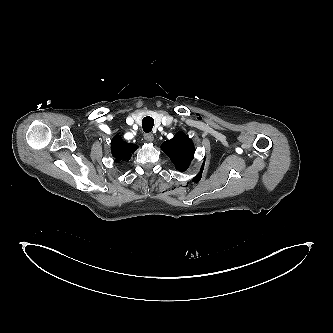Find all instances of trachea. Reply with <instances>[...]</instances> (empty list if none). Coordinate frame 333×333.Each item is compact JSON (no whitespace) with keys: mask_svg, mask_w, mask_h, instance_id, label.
Returning <instances> with one entry per match:
<instances>
[{"mask_svg":"<svg viewBox=\"0 0 333 333\" xmlns=\"http://www.w3.org/2000/svg\"><path fill=\"white\" fill-rule=\"evenodd\" d=\"M154 125V119L152 117H145L142 120V127H143V131L146 133H149L152 131Z\"/></svg>","mask_w":333,"mask_h":333,"instance_id":"3493384b","label":"trachea"}]
</instances>
